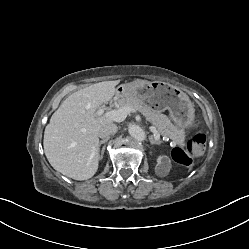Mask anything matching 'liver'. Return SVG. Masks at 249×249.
Returning a JSON list of instances; mask_svg holds the SVG:
<instances>
[{"label":"liver","mask_w":249,"mask_h":249,"mask_svg":"<svg viewBox=\"0 0 249 249\" xmlns=\"http://www.w3.org/2000/svg\"><path fill=\"white\" fill-rule=\"evenodd\" d=\"M134 82H147L136 79ZM119 80L90 85L69 95L44 132V152L51 166L75 180L91 178L98 169L99 130L113 120L97 114L115 95Z\"/></svg>","instance_id":"1"}]
</instances>
